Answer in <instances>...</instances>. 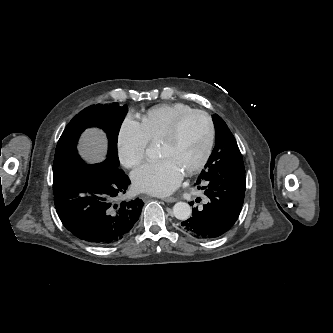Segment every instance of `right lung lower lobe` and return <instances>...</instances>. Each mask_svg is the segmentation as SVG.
Instances as JSON below:
<instances>
[{"instance_id":"right-lung-lower-lobe-1","label":"right lung lower lobe","mask_w":333,"mask_h":333,"mask_svg":"<svg viewBox=\"0 0 333 333\" xmlns=\"http://www.w3.org/2000/svg\"><path fill=\"white\" fill-rule=\"evenodd\" d=\"M112 158L82 164L54 176V203L58 216L75 237L96 246L118 242L134 227L143 201L118 199L130 185L128 176Z\"/></svg>"}]
</instances>
